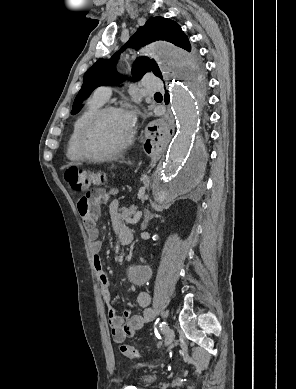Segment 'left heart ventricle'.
<instances>
[{
	"instance_id": "obj_1",
	"label": "left heart ventricle",
	"mask_w": 296,
	"mask_h": 389,
	"mask_svg": "<svg viewBox=\"0 0 296 389\" xmlns=\"http://www.w3.org/2000/svg\"><path fill=\"white\" fill-rule=\"evenodd\" d=\"M131 122L126 114L112 113L103 117L93 128L89 148L93 153H103L121 145L130 133Z\"/></svg>"
}]
</instances>
